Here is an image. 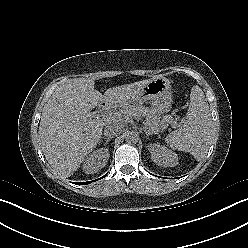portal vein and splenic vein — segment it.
Masks as SVG:
<instances>
[{
  "label": "portal vein and splenic vein",
  "instance_id": "18ae733b",
  "mask_svg": "<svg viewBox=\"0 0 248 248\" xmlns=\"http://www.w3.org/2000/svg\"><path fill=\"white\" fill-rule=\"evenodd\" d=\"M121 117L119 115H114V116H110L109 119L116 121L117 119H120ZM154 131V130H153Z\"/></svg>",
  "mask_w": 248,
  "mask_h": 248
}]
</instances>
